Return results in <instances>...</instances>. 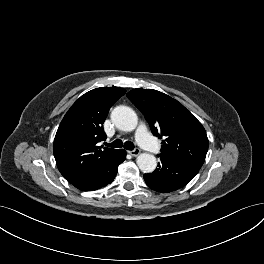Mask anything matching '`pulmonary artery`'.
I'll use <instances>...</instances> for the list:
<instances>
[{
  "label": "pulmonary artery",
  "mask_w": 264,
  "mask_h": 264,
  "mask_svg": "<svg viewBox=\"0 0 264 264\" xmlns=\"http://www.w3.org/2000/svg\"><path fill=\"white\" fill-rule=\"evenodd\" d=\"M136 139L137 142L140 144V146H142L144 149L152 153L159 152L160 147L158 143L150 135V133L147 130V127L144 124L139 125L136 131Z\"/></svg>",
  "instance_id": "1"
}]
</instances>
